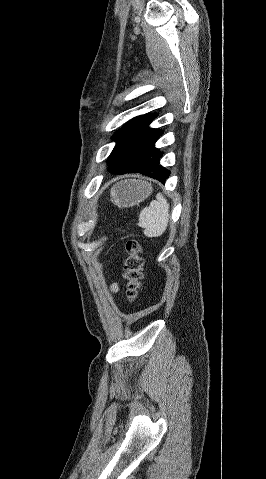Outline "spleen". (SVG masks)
<instances>
[{
	"mask_svg": "<svg viewBox=\"0 0 266 479\" xmlns=\"http://www.w3.org/2000/svg\"><path fill=\"white\" fill-rule=\"evenodd\" d=\"M169 217V204L163 195L158 193L156 200L140 212L138 225L144 229L145 236L158 237L165 232Z\"/></svg>",
	"mask_w": 266,
	"mask_h": 479,
	"instance_id": "1",
	"label": "spleen"
}]
</instances>
